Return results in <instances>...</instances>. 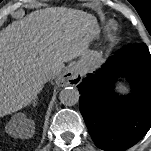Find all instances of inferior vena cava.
<instances>
[{
  "instance_id": "inferior-vena-cava-1",
  "label": "inferior vena cava",
  "mask_w": 151,
  "mask_h": 151,
  "mask_svg": "<svg viewBox=\"0 0 151 151\" xmlns=\"http://www.w3.org/2000/svg\"><path fill=\"white\" fill-rule=\"evenodd\" d=\"M61 71V69L59 67H55V69L53 70V74L56 75Z\"/></svg>"
}]
</instances>
